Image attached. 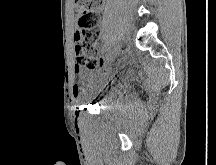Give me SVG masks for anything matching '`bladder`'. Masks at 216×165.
Instances as JSON below:
<instances>
[{"instance_id": "bladder-1", "label": "bladder", "mask_w": 216, "mask_h": 165, "mask_svg": "<svg viewBox=\"0 0 216 165\" xmlns=\"http://www.w3.org/2000/svg\"><path fill=\"white\" fill-rule=\"evenodd\" d=\"M115 82L112 81V76L106 74L93 75L91 84L88 88L87 99L103 100V97H110V94H118V89H104L105 86H114Z\"/></svg>"}]
</instances>
